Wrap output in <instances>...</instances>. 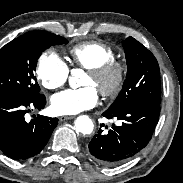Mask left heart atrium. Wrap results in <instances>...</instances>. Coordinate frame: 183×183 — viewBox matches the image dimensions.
Here are the masks:
<instances>
[{"mask_svg": "<svg viewBox=\"0 0 183 183\" xmlns=\"http://www.w3.org/2000/svg\"><path fill=\"white\" fill-rule=\"evenodd\" d=\"M98 99L97 89L93 86L67 89L53 95L51 107L58 115H73L93 108Z\"/></svg>", "mask_w": 183, "mask_h": 183, "instance_id": "obj_1", "label": "left heart atrium"}]
</instances>
